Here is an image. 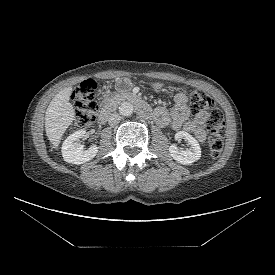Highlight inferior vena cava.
<instances>
[{
	"instance_id": "inferior-vena-cava-1",
	"label": "inferior vena cava",
	"mask_w": 275,
	"mask_h": 275,
	"mask_svg": "<svg viewBox=\"0 0 275 275\" xmlns=\"http://www.w3.org/2000/svg\"><path fill=\"white\" fill-rule=\"evenodd\" d=\"M121 116L118 113H112L108 118L109 125H116L120 122Z\"/></svg>"
}]
</instances>
